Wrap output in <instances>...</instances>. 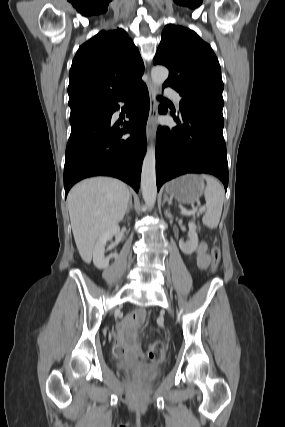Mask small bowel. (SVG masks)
I'll return each instance as SVG.
<instances>
[{
  "mask_svg": "<svg viewBox=\"0 0 285 427\" xmlns=\"http://www.w3.org/2000/svg\"><path fill=\"white\" fill-rule=\"evenodd\" d=\"M196 264L201 269H206L211 263V258L207 254V245L205 242H200L197 247ZM145 310L139 308L128 314L120 326L119 344L125 348V356L133 359L141 356L142 350L137 345L135 329L143 321Z\"/></svg>",
  "mask_w": 285,
  "mask_h": 427,
  "instance_id": "small-bowel-1",
  "label": "small bowel"
}]
</instances>
